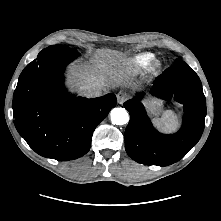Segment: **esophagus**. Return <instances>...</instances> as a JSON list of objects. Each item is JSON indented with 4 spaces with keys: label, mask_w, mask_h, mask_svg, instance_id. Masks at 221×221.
<instances>
[{
    "label": "esophagus",
    "mask_w": 221,
    "mask_h": 221,
    "mask_svg": "<svg viewBox=\"0 0 221 221\" xmlns=\"http://www.w3.org/2000/svg\"><path fill=\"white\" fill-rule=\"evenodd\" d=\"M127 98H128V94L124 91H120L117 94V101L119 104H123Z\"/></svg>",
    "instance_id": "34e87169"
}]
</instances>
